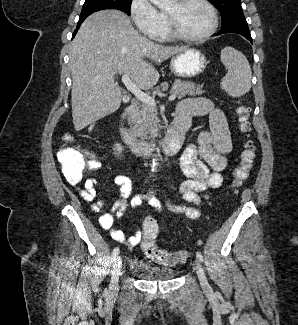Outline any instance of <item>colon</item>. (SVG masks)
Segmentation results:
<instances>
[{
    "mask_svg": "<svg viewBox=\"0 0 298 325\" xmlns=\"http://www.w3.org/2000/svg\"><path fill=\"white\" fill-rule=\"evenodd\" d=\"M240 129L248 132L250 129L248 119V108L241 105L236 110ZM255 148L251 140L244 143L240 156V162L233 172L231 186L237 190L249 177L255 163ZM58 159L62 166L63 175L66 180L73 185L80 183L83 178L97 171L101 163L89 153L81 152L72 147H62L58 153ZM159 233L157 221L152 217H147L143 223V236L140 242V248L143 253L154 262L174 266L183 263L186 256L183 252H170L160 249L156 245V238Z\"/></svg>",
    "mask_w": 298,
    "mask_h": 325,
    "instance_id": "colon-1",
    "label": "colon"
}]
</instances>
